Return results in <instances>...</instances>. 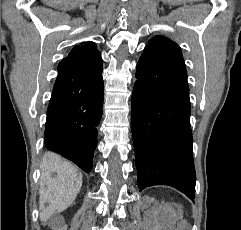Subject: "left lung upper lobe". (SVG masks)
<instances>
[{
    "mask_svg": "<svg viewBox=\"0 0 241 230\" xmlns=\"http://www.w3.org/2000/svg\"><path fill=\"white\" fill-rule=\"evenodd\" d=\"M142 55L152 58L169 67L186 72L180 47L164 36H155L150 39L148 45L144 48V53Z\"/></svg>",
    "mask_w": 241,
    "mask_h": 230,
    "instance_id": "obj_1",
    "label": "left lung upper lobe"
}]
</instances>
